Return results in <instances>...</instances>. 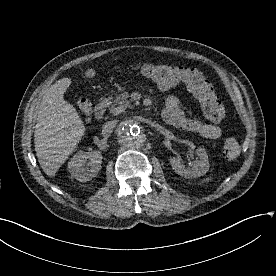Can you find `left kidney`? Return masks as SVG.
Returning a JSON list of instances; mask_svg holds the SVG:
<instances>
[{
  "label": "left kidney",
  "instance_id": "1",
  "mask_svg": "<svg viewBox=\"0 0 276 276\" xmlns=\"http://www.w3.org/2000/svg\"><path fill=\"white\" fill-rule=\"evenodd\" d=\"M199 160L192 162L191 167H186L180 158H170L172 169L185 178H197L206 174L209 170V160L204 148L196 149Z\"/></svg>",
  "mask_w": 276,
  "mask_h": 276
}]
</instances>
